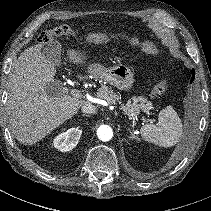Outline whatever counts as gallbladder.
<instances>
[{"mask_svg":"<svg viewBox=\"0 0 211 211\" xmlns=\"http://www.w3.org/2000/svg\"><path fill=\"white\" fill-rule=\"evenodd\" d=\"M43 56L54 66L61 64V45L58 41L48 43L43 49Z\"/></svg>","mask_w":211,"mask_h":211,"instance_id":"1","label":"gallbladder"}]
</instances>
